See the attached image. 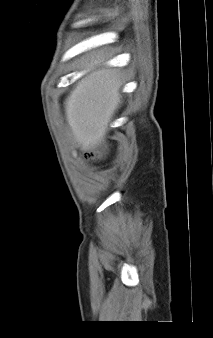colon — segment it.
Masks as SVG:
<instances>
[{
	"mask_svg": "<svg viewBox=\"0 0 213 338\" xmlns=\"http://www.w3.org/2000/svg\"><path fill=\"white\" fill-rule=\"evenodd\" d=\"M86 158L89 159V160H97V159H99V155L96 154V153H88L86 155Z\"/></svg>",
	"mask_w": 213,
	"mask_h": 338,
	"instance_id": "obj_1",
	"label": "colon"
}]
</instances>
